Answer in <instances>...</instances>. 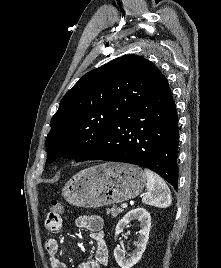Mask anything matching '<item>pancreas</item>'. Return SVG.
<instances>
[{
    "label": "pancreas",
    "instance_id": "1",
    "mask_svg": "<svg viewBox=\"0 0 221 268\" xmlns=\"http://www.w3.org/2000/svg\"><path fill=\"white\" fill-rule=\"evenodd\" d=\"M123 210L118 207H113L112 209H107L106 213L107 215H111L112 217H117L120 213H122Z\"/></svg>",
    "mask_w": 221,
    "mask_h": 268
}]
</instances>
